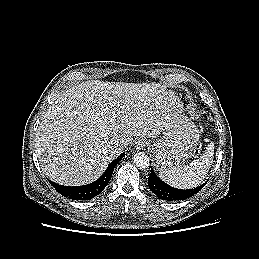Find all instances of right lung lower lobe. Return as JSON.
Returning <instances> with one entry per match:
<instances>
[{
  "label": "right lung lower lobe",
  "instance_id": "98d812e1",
  "mask_svg": "<svg viewBox=\"0 0 259 259\" xmlns=\"http://www.w3.org/2000/svg\"><path fill=\"white\" fill-rule=\"evenodd\" d=\"M124 157V153L113 160L107 167L103 175L96 181L83 185V186H64L59 185L50 181V184L58 191L61 195L68 197L73 200H90L95 196L99 195L109 183L112 173L117 163Z\"/></svg>",
  "mask_w": 259,
  "mask_h": 259
}]
</instances>
